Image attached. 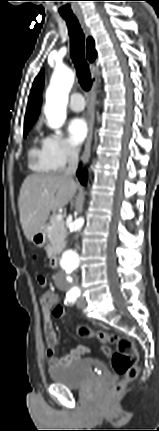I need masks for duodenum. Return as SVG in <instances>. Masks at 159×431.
Segmentation results:
<instances>
[{
  "instance_id": "1",
  "label": "duodenum",
  "mask_w": 159,
  "mask_h": 431,
  "mask_svg": "<svg viewBox=\"0 0 159 431\" xmlns=\"http://www.w3.org/2000/svg\"><path fill=\"white\" fill-rule=\"evenodd\" d=\"M59 260H60L59 255H53L50 259V267L53 269H56L59 266Z\"/></svg>"
}]
</instances>
